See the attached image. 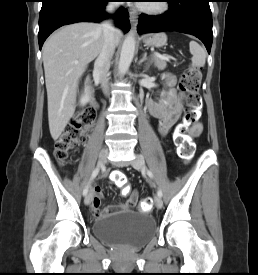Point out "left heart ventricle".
Segmentation results:
<instances>
[{
	"label": "left heart ventricle",
	"mask_w": 258,
	"mask_h": 275,
	"mask_svg": "<svg viewBox=\"0 0 258 275\" xmlns=\"http://www.w3.org/2000/svg\"><path fill=\"white\" fill-rule=\"evenodd\" d=\"M149 2H153V3H149V4H146V5H156L157 1H149Z\"/></svg>",
	"instance_id": "b2bd125f"
}]
</instances>
